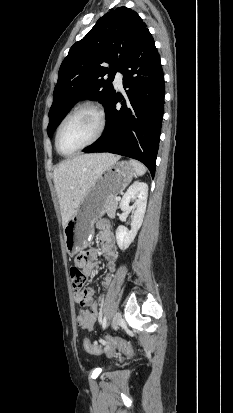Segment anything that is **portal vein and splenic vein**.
I'll return each mask as SVG.
<instances>
[{
	"label": "portal vein and splenic vein",
	"instance_id": "obj_1",
	"mask_svg": "<svg viewBox=\"0 0 233 413\" xmlns=\"http://www.w3.org/2000/svg\"><path fill=\"white\" fill-rule=\"evenodd\" d=\"M115 199H116V201H119V200H120V197H116Z\"/></svg>",
	"mask_w": 233,
	"mask_h": 413
}]
</instances>
